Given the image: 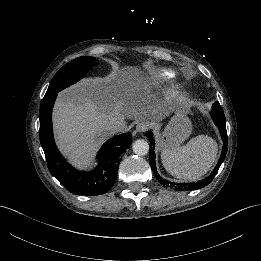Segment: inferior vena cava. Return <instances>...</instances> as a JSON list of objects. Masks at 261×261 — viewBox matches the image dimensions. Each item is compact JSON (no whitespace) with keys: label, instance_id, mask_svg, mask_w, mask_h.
Instances as JSON below:
<instances>
[{"label":"inferior vena cava","instance_id":"1","mask_svg":"<svg viewBox=\"0 0 261 261\" xmlns=\"http://www.w3.org/2000/svg\"><path fill=\"white\" fill-rule=\"evenodd\" d=\"M107 128L109 131H111L113 133H118V132L125 130L126 122H125V120H123L121 118H117V119L113 120L112 122H110L108 124Z\"/></svg>","mask_w":261,"mask_h":261}]
</instances>
